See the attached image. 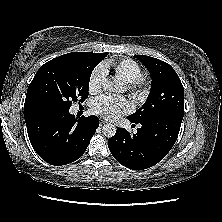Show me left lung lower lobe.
Here are the masks:
<instances>
[{
	"instance_id": "1",
	"label": "left lung lower lobe",
	"mask_w": 222,
	"mask_h": 222,
	"mask_svg": "<svg viewBox=\"0 0 222 222\" xmlns=\"http://www.w3.org/2000/svg\"><path fill=\"white\" fill-rule=\"evenodd\" d=\"M182 120L181 115L164 113L138 122L141 127L133 135L124 128H118L116 134L108 140L109 150L125 167L134 170L150 168L171 150Z\"/></svg>"
}]
</instances>
